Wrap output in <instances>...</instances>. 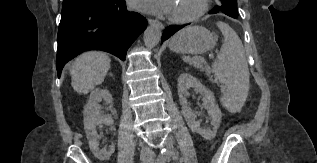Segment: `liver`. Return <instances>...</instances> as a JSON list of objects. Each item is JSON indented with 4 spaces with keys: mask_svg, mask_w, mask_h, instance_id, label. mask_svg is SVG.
<instances>
[{
    "mask_svg": "<svg viewBox=\"0 0 317 163\" xmlns=\"http://www.w3.org/2000/svg\"><path fill=\"white\" fill-rule=\"evenodd\" d=\"M111 60L106 53L90 51L76 58L70 69L71 86L79 94H87L104 81Z\"/></svg>",
    "mask_w": 317,
    "mask_h": 163,
    "instance_id": "liver-1",
    "label": "liver"
}]
</instances>
